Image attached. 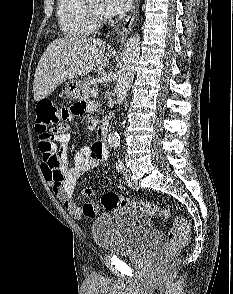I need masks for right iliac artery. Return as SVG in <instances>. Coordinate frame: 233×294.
Segmentation results:
<instances>
[{"label": "right iliac artery", "mask_w": 233, "mask_h": 294, "mask_svg": "<svg viewBox=\"0 0 233 294\" xmlns=\"http://www.w3.org/2000/svg\"><path fill=\"white\" fill-rule=\"evenodd\" d=\"M115 167L118 172H121L124 169V164L119 161L118 163L115 164Z\"/></svg>", "instance_id": "82829eb1"}]
</instances>
